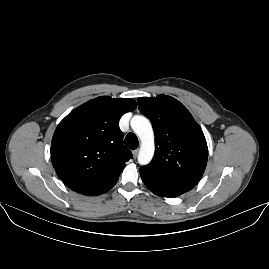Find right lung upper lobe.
<instances>
[{"label":"right lung upper lobe","mask_w":269,"mask_h":269,"mask_svg":"<svg viewBox=\"0 0 269 269\" xmlns=\"http://www.w3.org/2000/svg\"><path fill=\"white\" fill-rule=\"evenodd\" d=\"M136 106L130 98L102 96L77 107L59 123L51 160L70 189L81 193L117 182L125 162L132 158L124 146L119 119Z\"/></svg>","instance_id":"right-lung-upper-lobe-1"}]
</instances>
